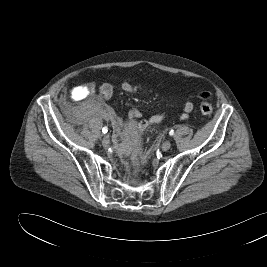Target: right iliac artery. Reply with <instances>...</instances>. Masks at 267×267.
<instances>
[{
  "instance_id": "82829eb1",
  "label": "right iliac artery",
  "mask_w": 267,
  "mask_h": 267,
  "mask_svg": "<svg viewBox=\"0 0 267 267\" xmlns=\"http://www.w3.org/2000/svg\"><path fill=\"white\" fill-rule=\"evenodd\" d=\"M107 131H108V128L107 127H103L102 132L105 134V133H107Z\"/></svg>"
}]
</instances>
